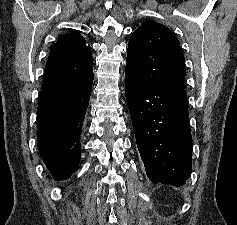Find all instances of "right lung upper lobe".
I'll use <instances>...</instances> for the list:
<instances>
[{
	"label": "right lung upper lobe",
	"instance_id": "right-lung-upper-lobe-1",
	"mask_svg": "<svg viewBox=\"0 0 237 225\" xmlns=\"http://www.w3.org/2000/svg\"><path fill=\"white\" fill-rule=\"evenodd\" d=\"M93 80L90 46L77 32L61 35L45 67L44 91L73 90Z\"/></svg>",
	"mask_w": 237,
	"mask_h": 225
}]
</instances>
